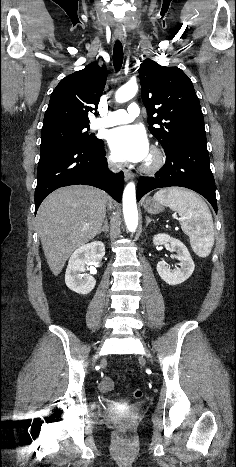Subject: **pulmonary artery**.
Masks as SVG:
<instances>
[{"label": "pulmonary artery", "mask_w": 236, "mask_h": 467, "mask_svg": "<svg viewBox=\"0 0 236 467\" xmlns=\"http://www.w3.org/2000/svg\"><path fill=\"white\" fill-rule=\"evenodd\" d=\"M140 114L138 104L131 103L127 110L119 109L111 111L104 118H98L93 122L94 128L110 127L133 121Z\"/></svg>", "instance_id": "obj_1"}]
</instances>
